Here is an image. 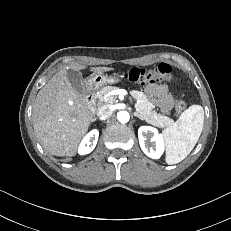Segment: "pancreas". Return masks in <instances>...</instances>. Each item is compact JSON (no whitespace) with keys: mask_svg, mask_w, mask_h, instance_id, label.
<instances>
[{"mask_svg":"<svg viewBox=\"0 0 231 231\" xmlns=\"http://www.w3.org/2000/svg\"><path fill=\"white\" fill-rule=\"evenodd\" d=\"M114 90H118V88L114 86H105L100 89V91L96 94V98L99 103H113L115 101L114 96L106 95ZM130 94L137 101L136 109L143 120L160 128L169 127L173 124V119L161 115L154 110L155 106L148 100L147 96L143 92L132 90L130 91Z\"/></svg>","mask_w":231,"mask_h":231,"instance_id":"obj_1","label":"pancreas"}]
</instances>
